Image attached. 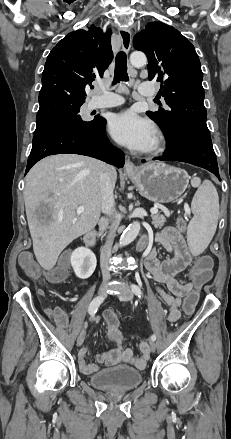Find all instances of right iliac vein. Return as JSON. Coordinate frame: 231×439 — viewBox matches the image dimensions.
<instances>
[{"instance_id": "63e3f726", "label": "right iliac vein", "mask_w": 231, "mask_h": 439, "mask_svg": "<svg viewBox=\"0 0 231 439\" xmlns=\"http://www.w3.org/2000/svg\"><path fill=\"white\" fill-rule=\"evenodd\" d=\"M107 291H108V286L107 285H102L100 287L99 291H98V297H102V298L106 297ZM86 326L87 325L85 324L84 328L82 329V331H81V333H80V335H79V337L77 339V345L78 346H81L83 344V342H84L85 334H86Z\"/></svg>"}]
</instances>
